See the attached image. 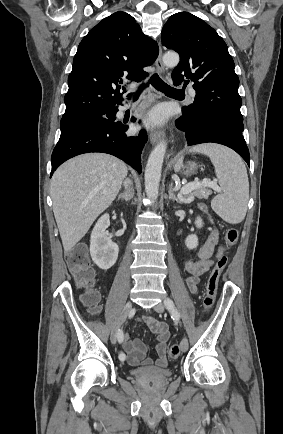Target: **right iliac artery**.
Wrapping results in <instances>:
<instances>
[{"mask_svg": "<svg viewBox=\"0 0 283 434\" xmlns=\"http://www.w3.org/2000/svg\"><path fill=\"white\" fill-rule=\"evenodd\" d=\"M117 339H118L119 342H121V340L123 339V331L122 330H119ZM125 358L126 357H125V355L123 353H119V359L121 361H124Z\"/></svg>", "mask_w": 283, "mask_h": 434, "instance_id": "1", "label": "right iliac artery"}]
</instances>
